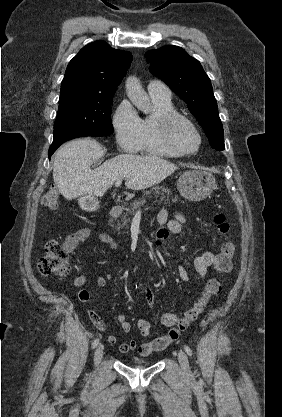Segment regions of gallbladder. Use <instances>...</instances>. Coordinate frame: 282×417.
<instances>
[{
	"instance_id": "bac80fb5",
	"label": "gallbladder",
	"mask_w": 282,
	"mask_h": 417,
	"mask_svg": "<svg viewBox=\"0 0 282 417\" xmlns=\"http://www.w3.org/2000/svg\"><path fill=\"white\" fill-rule=\"evenodd\" d=\"M82 198H85V196H80V198H78V200H82Z\"/></svg>"
}]
</instances>
